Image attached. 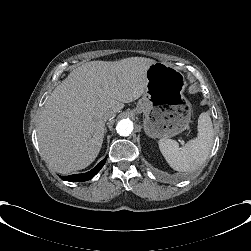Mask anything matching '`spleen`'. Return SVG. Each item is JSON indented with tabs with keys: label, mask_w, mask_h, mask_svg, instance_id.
<instances>
[{
	"label": "spleen",
	"mask_w": 251,
	"mask_h": 251,
	"mask_svg": "<svg viewBox=\"0 0 251 251\" xmlns=\"http://www.w3.org/2000/svg\"><path fill=\"white\" fill-rule=\"evenodd\" d=\"M214 142V129L210 115L203 112L198 118L197 138L188 141L183 147L172 139L159 140V149L170 165L179 172H192L206 161Z\"/></svg>",
	"instance_id": "3e777b00"
}]
</instances>
